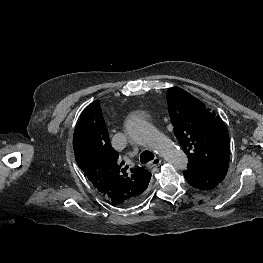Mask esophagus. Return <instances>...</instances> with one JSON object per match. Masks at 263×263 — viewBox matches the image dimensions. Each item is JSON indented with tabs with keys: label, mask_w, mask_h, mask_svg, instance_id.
Wrapping results in <instances>:
<instances>
[{
	"label": "esophagus",
	"mask_w": 263,
	"mask_h": 263,
	"mask_svg": "<svg viewBox=\"0 0 263 263\" xmlns=\"http://www.w3.org/2000/svg\"><path fill=\"white\" fill-rule=\"evenodd\" d=\"M161 159L159 157H155L151 162L147 164V168L152 169L157 167L159 164H161Z\"/></svg>",
	"instance_id": "1"
}]
</instances>
